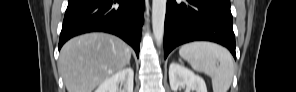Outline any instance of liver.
Masks as SVG:
<instances>
[{"mask_svg": "<svg viewBox=\"0 0 296 92\" xmlns=\"http://www.w3.org/2000/svg\"><path fill=\"white\" fill-rule=\"evenodd\" d=\"M131 59L129 46L107 33H88L69 40L60 51L58 70L68 92H92Z\"/></svg>", "mask_w": 296, "mask_h": 92, "instance_id": "obj_1", "label": "liver"}]
</instances>
